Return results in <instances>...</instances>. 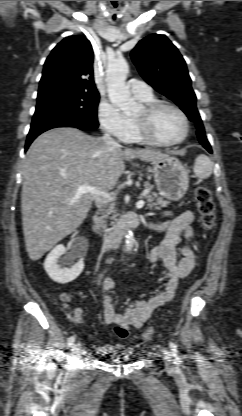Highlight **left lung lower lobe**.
I'll return each mask as SVG.
<instances>
[{"label": "left lung lower lobe", "instance_id": "left-lung-lower-lobe-1", "mask_svg": "<svg viewBox=\"0 0 242 416\" xmlns=\"http://www.w3.org/2000/svg\"><path fill=\"white\" fill-rule=\"evenodd\" d=\"M203 146L210 152V153H212V150H211V146H210V144H209V142L207 141V142H205V143H203Z\"/></svg>", "mask_w": 242, "mask_h": 416}]
</instances>
